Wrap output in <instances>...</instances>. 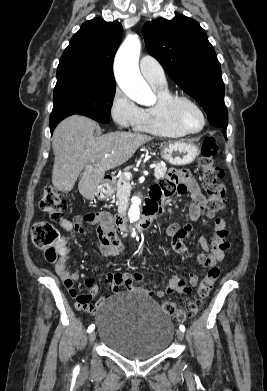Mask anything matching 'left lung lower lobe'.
<instances>
[{
    "instance_id": "0a47b994",
    "label": "left lung lower lobe",
    "mask_w": 267,
    "mask_h": 391,
    "mask_svg": "<svg viewBox=\"0 0 267 391\" xmlns=\"http://www.w3.org/2000/svg\"><path fill=\"white\" fill-rule=\"evenodd\" d=\"M222 129H223V128H222ZM223 134H224V136H225V138H226V128L223 129Z\"/></svg>"
}]
</instances>
